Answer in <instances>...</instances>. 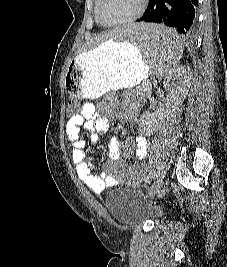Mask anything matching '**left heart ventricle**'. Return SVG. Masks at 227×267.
<instances>
[{
	"label": "left heart ventricle",
	"mask_w": 227,
	"mask_h": 267,
	"mask_svg": "<svg viewBox=\"0 0 227 267\" xmlns=\"http://www.w3.org/2000/svg\"><path fill=\"white\" fill-rule=\"evenodd\" d=\"M141 0H103L102 13L106 21L126 19L139 9Z\"/></svg>",
	"instance_id": "b2bd125f"
}]
</instances>
